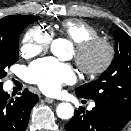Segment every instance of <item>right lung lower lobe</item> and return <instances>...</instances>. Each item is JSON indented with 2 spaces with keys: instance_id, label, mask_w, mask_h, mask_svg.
Instances as JSON below:
<instances>
[{
  "instance_id": "obj_1",
  "label": "right lung lower lobe",
  "mask_w": 131,
  "mask_h": 131,
  "mask_svg": "<svg viewBox=\"0 0 131 131\" xmlns=\"http://www.w3.org/2000/svg\"><path fill=\"white\" fill-rule=\"evenodd\" d=\"M20 97L12 99L0 87V131H24L28 125L30 112L38 101V96L27 89Z\"/></svg>"
}]
</instances>
